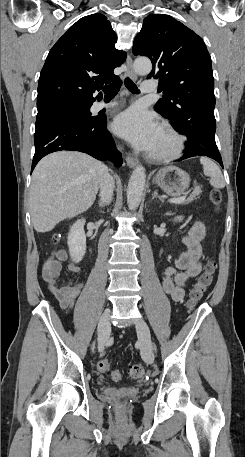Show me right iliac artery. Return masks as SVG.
<instances>
[{
    "label": "right iliac artery",
    "mask_w": 245,
    "mask_h": 457,
    "mask_svg": "<svg viewBox=\"0 0 245 457\" xmlns=\"http://www.w3.org/2000/svg\"><path fill=\"white\" fill-rule=\"evenodd\" d=\"M94 347H95V343L93 344V349H94Z\"/></svg>",
    "instance_id": "right-iliac-artery-1"
}]
</instances>
